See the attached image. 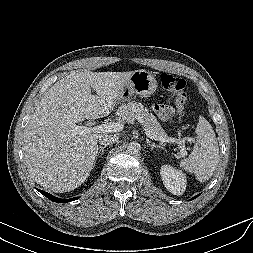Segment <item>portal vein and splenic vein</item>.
<instances>
[{
  "mask_svg": "<svg viewBox=\"0 0 253 253\" xmlns=\"http://www.w3.org/2000/svg\"><path fill=\"white\" fill-rule=\"evenodd\" d=\"M140 123H142V121H139ZM124 128V125L122 123H106V124H100V125H96V126H75V131L78 134H84V133H88V132H95V133H112V132H120L122 131ZM145 134L147 135V137H149L150 139H154V140H159L161 142H168V143H177L182 145L181 146V154L185 155L186 154V150H185V140H187L186 138L182 139V140H177L175 138H165V137H160L157 136L153 133H151L147 128H144Z\"/></svg>",
  "mask_w": 253,
  "mask_h": 253,
  "instance_id": "1",
  "label": "portal vein and splenic vein"
}]
</instances>
